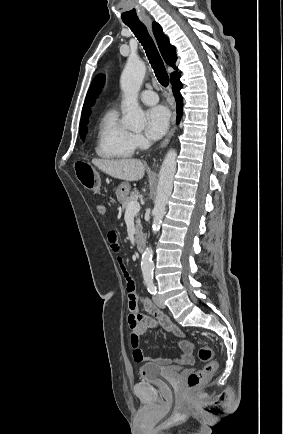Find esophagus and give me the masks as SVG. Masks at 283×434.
Here are the masks:
<instances>
[{
  "label": "esophagus",
  "mask_w": 283,
  "mask_h": 434,
  "mask_svg": "<svg viewBox=\"0 0 283 434\" xmlns=\"http://www.w3.org/2000/svg\"><path fill=\"white\" fill-rule=\"evenodd\" d=\"M143 21L149 28H151L152 20L150 17H145ZM174 130H175V123H173V127L171 128V130L169 131L165 139L162 141L160 145L161 148L165 147L169 143L171 137L173 136Z\"/></svg>",
  "instance_id": "esophagus-1"
}]
</instances>
